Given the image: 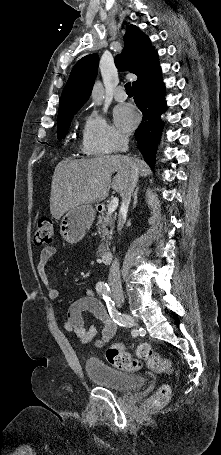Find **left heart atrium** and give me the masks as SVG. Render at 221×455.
<instances>
[{
	"instance_id": "obj_1",
	"label": "left heart atrium",
	"mask_w": 221,
	"mask_h": 455,
	"mask_svg": "<svg viewBox=\"0 0 221 455\" xmlns=\"http://www.w3.org/2000/svg\"><path fill=\"white\" fill-rule=\"evenodd\" d=\"M114 121L123 131H131L138 123V115L129 105H120L114 109Z\"/></svg>"
}]
</instances>
